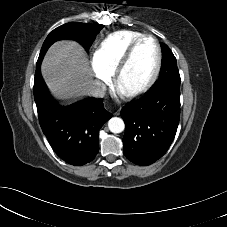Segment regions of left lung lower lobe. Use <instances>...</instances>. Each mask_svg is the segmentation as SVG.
Segmentation results:
<instances>
[{"instance_id":"left-lung-lower-lobe-1","label":"left lung lower lobe","mask_w":227,"mask_h":227,"mask_svg":"<svg viewBox=\"0 0 227 227\" xmlns=\"http://www.w3.org/2000/svg\"><path fill=\"white\" fill-rule=\"evenodd\" d=\"M125 122L124 155L137 165H150L170 147L180 119V89L152 87L121 110Z\"/></svg>"}]
</instances>
